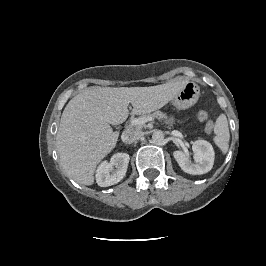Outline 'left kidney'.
<instances>
[{"mask_svg":"<svg viewBox=\"0 0 266 266\" xmlns=\"http://www.w3.org/2000/svg\"><path fill=\"white\" fill-rule=\"evenodd\" d=\"M195 163L189 159V155L182 151H175L173 156L181 169L192 175H200L209 172L214 164V150L212 145L205 140H197L192 145Z\"/></svg>","mask_w":266,"mask_h":266,"instance_id":"1","label":"left kidney"}]
</instances>
